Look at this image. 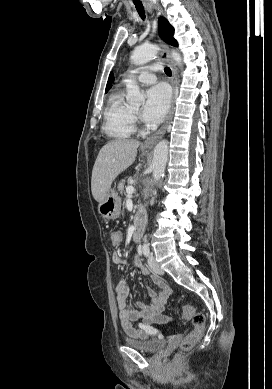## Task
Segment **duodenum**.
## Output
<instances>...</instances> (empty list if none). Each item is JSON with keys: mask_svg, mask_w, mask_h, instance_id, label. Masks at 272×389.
I'll return each mask as SVG.
<instances>
[{"mask_svg": "<svg viewBox=\"0 0 272 389\" xmlns=\"http://www.w3.org/2000/svg\"><path fill=\"white\" fill-rule=\"evenodd\" d=\"M143 227H144V218L141 210H138L135 222H134V228H133V240L138 242L140 241L143 233Z\"/></svg>", "mask_w": 272, "mask_h": 389, "instance_id": "410a0bca", "label": "duodenum"}]
</instances>
